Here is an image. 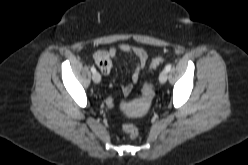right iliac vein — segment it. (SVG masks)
I'll use <instances>...</instances> for the list:
<instances>
[{"label": "right iliac vein", "instance_id": "obj_1", "mask_svg": "<svg viewBox=\"0 0 248 165\" xmlns=\"http://www.w3.org/2000/svg\"><path fill=\"white\" fill-rule=\"evenodd\" d=\"M92 79L94 83H99L101 81V76L98 72L93 73Z\"/></svg>", "mask_w": 248, "mask_h": 165}]
</instances>
